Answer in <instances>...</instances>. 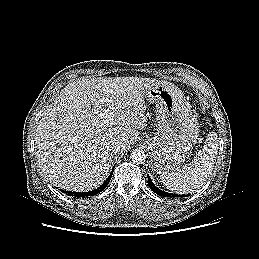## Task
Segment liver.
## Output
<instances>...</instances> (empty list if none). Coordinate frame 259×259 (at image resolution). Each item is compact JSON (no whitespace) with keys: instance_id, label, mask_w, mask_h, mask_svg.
Wrapping results in <instances>:
<instances>
[{"instance_id":"obj_1","label":"liver","mask_w":259,"mask_h":259,"mask_svg":"<svg viewBox=\"0 0 259 259\" xmlns=\"http://www.w3.org/2000/svg\"><path fill=\"white\" fill-rule=\"evenodd\" d=\"M156 82L100 77L65 86L44 110L35 131L38 165L46 179L71 191L99 187L112 162L110 145L120 143L117 153H123L146 128L144 96ZM104 117L111 125H104Z\"/></svg>"}]
</instances>
